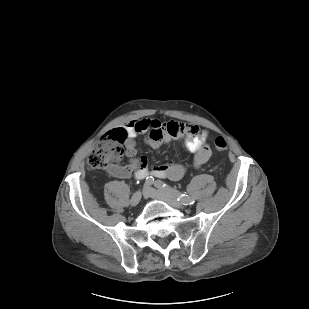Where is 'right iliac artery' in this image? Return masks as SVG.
<instances>
[{"mask_svg": "<svg viewBox=\"0 0 309 309\" xmlns=\"http://www.w3.org/2000/svg\"><path fill=\"white\" fill-rule=\"evenodd\" d=\"M153 183H154V178L152 176L146 178V181H145L146 185L150 186Z\"/></svg>", "mask_w": 309, "mask_h": 309, "instance_id": "obj_1", "label": "right iliac artery"}]
</instances>
